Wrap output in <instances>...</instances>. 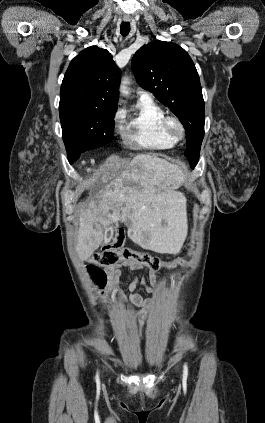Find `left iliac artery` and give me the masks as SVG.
Returning <instances> with one entry per match:
<instances>
[{
    "label": "left iliac artery",
    "instance_id": "1",
    "mask_svg": "<svg viewBox=\"0 0 265 423\" xmlns=\"http://www.w3.org/2000/svg\"><path fill=\"white\" fill-rule=\"evenodd\" d=\"M184 376H187L188 375V367H187V364L185 363L184 364Z\"/></svg>",
    "mask_w": 265,
    "mask_h": 423
}]
</instances>
